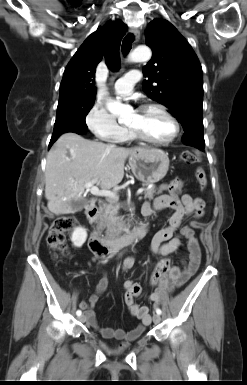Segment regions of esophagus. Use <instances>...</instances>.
<instances>
[{"instance_id":"esophagus-1","label":"esophagus","mask_w":247,"mask_h":385,"mask_svg":"<svg viewBox=\"0 0 247 385\" xmlns=\"http://www.w3.org/2000/svg\"><path fill=\"white\" fill-rule=\"evenodd\" d=\"M130 32L134 35L135 40L138 41L140 38V30L138 28H131Z\"/></svg>"}]
</instances>
